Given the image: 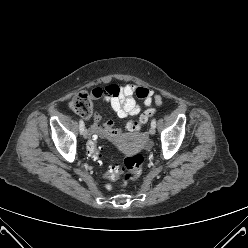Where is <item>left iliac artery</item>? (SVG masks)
Here are the masks:
<instances>
[{"label":"left iliac artery","mask_w":248,"mask_h":248,"mask_svg":"<svg viewBox=\"0 0 248 248\" xmlns=\"http://www.w3.org/2000/svg\"><path fill=\"white\" fill-rule=\"evenodd\" d=\"M151 126L154 127V128L156 127V119H153V120L151 121Z\"/></svg>","instance_id":"1"}]
</instances>
